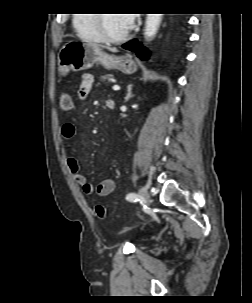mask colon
<instances>
[{
  "label": "colon",
  "mask_w": 252,
  "mask_h": 303,
  "mask_svg": "<svg viewBox=\"0 0 252 303\" xmlns=\"http://www.w3.org/2000/svg\"><path fill=\"white\" fill-rule=\"evenodd\" d=\"M60 108L63 112H69L73 109V100L69 93H62L59 99ZM94 212L98 219L106 218V209L101 203H96Z\"/></svg>",
  "instance_id": "5ec220e1"
}]
</instances>
